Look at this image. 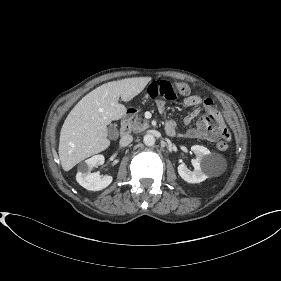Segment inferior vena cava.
<instances>
[{
	"instance_id": "inferior-vena-cava-1",
	"label": "inferior vena cava",
	"mask_w": 281,
	"mask_h": 281,
	"mask_svg": "<svg viewBox=\"0 0 281 281\" xmlns=\"http://www.w3.org/2000/svg\"><path fill=\"white\" fill-rule=\"evenodd\" d=\"M133 141L132 135L126 134L123 135L119 141L120 146L125 147Z\"/></svg>"
}]
</instances>
